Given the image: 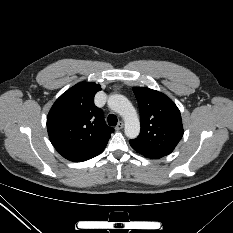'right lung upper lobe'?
Masks as SVG:
<instances>
[{"mask_svg":"<svg viewBox=\"0 0 233 233\" xmlns=\"http://www.w3.org/2000/svg\"><path fill=\"white\" fill-rule=\"evenodd\" d=\"M99 90L96 83L80 82L63 93L48 114L50 141L70 161L82 162L100 154L114 131L94 104Z\"/></svg>","mask_w":233,"mask_h":233,"instance_id":"cb5924a9","label":"right lung upper lobe"}]
</instances>
